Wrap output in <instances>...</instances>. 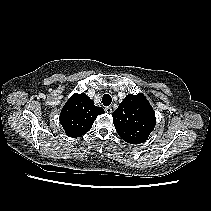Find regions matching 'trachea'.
<instances>
[{
    "mask_svg": "<svg viewBox=\"0 0 211 211\" xmlns=\"http://www.w3.org/2000/svg\"><path fill=\"white\" fill-rule=\"evenodd\" d=\"M112 102V98L109 94H105L103 95V98H102V103L104 106H109Z\"/></svg>",
    "mask_w": 211,
    "mask_h": 211,
    "instance_id": "trachea-1",
    "label": "trachea"
}]
</instances>
